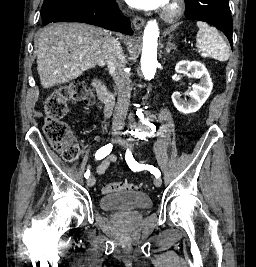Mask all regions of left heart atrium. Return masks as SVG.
Instances as JSON below:
<instances>
[{"label":"left heart atrium","instance_id":"39dd6f15","mask_svg":"<svg viewBox=\"0 0 256 267\" xmlns=\"http://www.w3.org/2000/svg\"><path fill=\"white\" fill-rule=\"evenodd\" d=\"M146 8L168 12L169 0H144Z\"/></svg>","mask_w":256,"mask_h":267}]
</instances>
